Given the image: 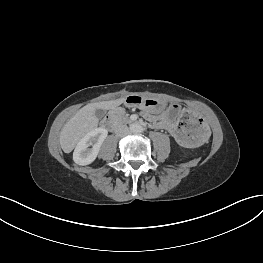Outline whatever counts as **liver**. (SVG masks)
Here are the masks:
<instances>
[{
  "label": "liver",
  "instance_id": "liver-1",
  "mask_svg": "<svg viewBox=\"0 0 263 263\" xmlns=\"http://www.w3.org/2000/svg\"><path fill=\"white\" fill-rule=\"evenodd\" d=\"M124 101L125 98H119L117 100L91 103L82 107L68 120L60 132L59 141L62 150L65 153H70L87 133L96 129L99 124V119L95 115L96 109H114Z\"/></svg>",
  "mask_w": 263,
  "mask_h": 263
}]
</instances>
